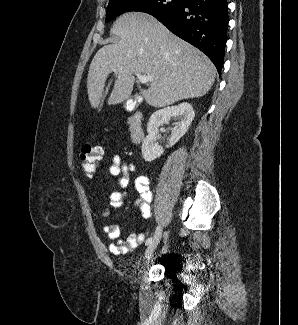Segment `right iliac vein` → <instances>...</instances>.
<instances>
[{
	"instance_id": "1",
	"label": "right iliac vein",
	"mask_w": 298,
	"mask_h": 325,
	"mask_svg": "<svg viewBox=\"0 0 298 325\" xmlns=\"http://www.w3.org/2000/svg\"><path fill=\"white\" fill-rule=\"evenodd\" d=\"M162 237V227L161 225H158L155 231V234L152 238L151 243L148 245L145 251V259L149 260L153 252L155 251L157 245L160 242V239Z\"/></svg>"
}]
</instances>
